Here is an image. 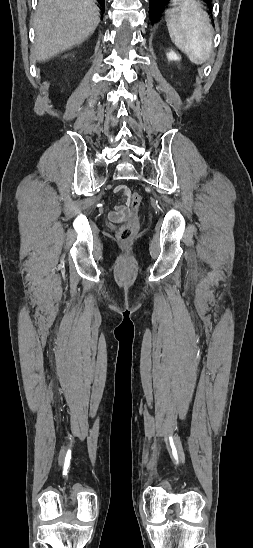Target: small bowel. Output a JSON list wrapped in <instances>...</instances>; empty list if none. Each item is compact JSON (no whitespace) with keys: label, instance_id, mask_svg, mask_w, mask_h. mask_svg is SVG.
Instances as JSON below:
<instances>
[{"label":"small bowel","instance_id":"small-bowel-1","mask_svg":"<svg viewBox=\"0 0 253 548\" xmlns=\"http://www.w3.org/2000/svg\"><path fill=\"white\" fill-rule=\"evenodd\" d=\"M117 193L124 196V203L117 205L112 211L109 212V219L113 222L119 223L130 217L131 211L129 209V189L125 185H119L115 188Z\"/></svg>","mask_w":253,"mask_h":548}]
</instances>
